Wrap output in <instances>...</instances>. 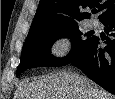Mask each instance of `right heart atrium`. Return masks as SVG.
<instances>
[{
  "instance_id": "d8ad5b80",
  "label": "right heart atrium",
  "mask_w": 115,
  "mask_h": 99,
  "mask_svg": "<svg viewBox=\"0 0 115 99\" xmlns=\"http://www.w3.org/2000/svg\"><path fill=\"white\" fill-rule=\"evenodd\" d=\"M72 49V39L67 34L54 37L47 47L48 55L54 60L65 58Z\"/></svg>"
}]
</instances>
